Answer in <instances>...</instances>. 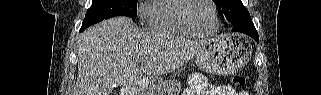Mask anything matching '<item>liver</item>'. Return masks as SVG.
<instances>
[{"label": "liver", "instance_id": "liver-1", "mask_svg": "<svg viewBox=\"0 0 321 95\" xmlns=\"http://www.w3.org/2000/svg\"><path fill=\"white\" fill-rule=\"evenodd\" d=\"M206 43L140 32L127 17L105 20L78 39V77L73 95H111L114 85L137 82L142 73L155 77L174 71Z\"/></svg>", "mask_w": 321, "mask_h": 95}]
</instances>
